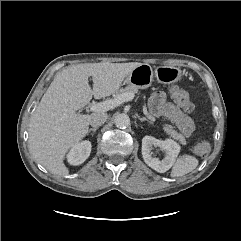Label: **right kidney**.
<instances>
[{
  "mask_svg": "<svg viewBox=\"0 0 241 241\" xmlns=\"http://www.w3.org/2000/svg\"><path fill=\"white\" fill-rule=\"evenodd\" d=\"M91 147V142L87 140L74 145L67 155L68 162L71 165L82 164L89 157Z\"/></svg>",
  "mask_w": 241,
  "mask_h": 241,
  "instance_id": "ca27d5eb",
  "label": "right kidney"
}]
</instances>
